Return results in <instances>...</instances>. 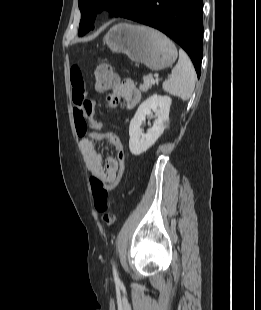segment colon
Returning a JSON list of instances; mask_svg holds the SVG:
<instances>
[{
	"label": "colon",
	"instance_id": "colon-1",
	"mask_svg": "<svg viewBox=\"0 0 261 310\" xmlns=\"http://www.w3.org/2000/svg\"><path fill=\"white\" fill-rule=\"evenodd\" d=\"M115 82L116 77L109 65L100 64L96 67L94 72V89L97 92H106L112 88ZM113 146L119 165L115 181L113 183H106L95 176L90 179L94 206L98 212L102 213V219L107 225H112L115 221L114 216L106 212L108 209V193L118 185L125 168V151L121 142L115 140Z\"/></svg>",
	"mask_w": 261,
	"mask_h": 310
}]
</instances>
